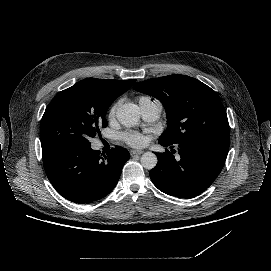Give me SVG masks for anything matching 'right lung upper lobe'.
Wrapping results in <instances>:
<instances>
[{"label": "right lung upper lobe", "instance_id": "1", "mask_svg": "<svg viewBox=\"0 0 271 271\" xmlns=\"http://www.w3.org/2000/svg\"><path fill=\"white\" fill-rule=\"evenodd\" d=\"M131 80L87 78L63 90L75 93L89 107L108 109L111 103L126 92L135 82Z\"/></svg>", "mask_w": 271, "mask_h": 271}]
</instances>
